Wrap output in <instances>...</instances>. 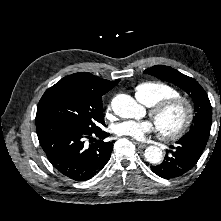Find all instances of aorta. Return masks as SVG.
Instances as JSON below:
<instances>
[{
  "mask_svg": "<svg viewBox=\"0 0 221 221\" xmlns=\"http://www.w3.org/2000/svg\"><path fill=\"white\" fill-rule=\"evenodd\" d=\"M114 113L122 118H136L142 111V107L129 95L119 94L112 100ZM144 157L151 164H159L162 161V150L157 146H149L145 149Z\"/></svg>",
  "mask_w": 221,
  "mask_h": 221,
  "instance_id": "762f6f07",
  "label": "aorta"
}]
</instances>
